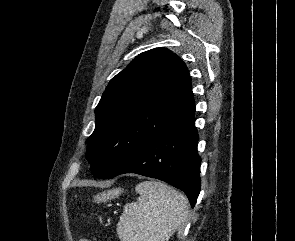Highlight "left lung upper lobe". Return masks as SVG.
<instances>
[{"label":"left lung upper lobe","instance_id":"5c2ea615","mask_svg":"<svg viewBox=\"0 0 295 241\" xmlns=\"http://www.w3.org/2000/svg\"><path fill=\"white\" fill-rule=\"evenodd\" d=\"M195 111L185 63L166 48L141 53L108 84L95 109L86 158L110 179L156 136Z\"/></svg>","mask_w":295,"mask_h":241}]
</instances>
